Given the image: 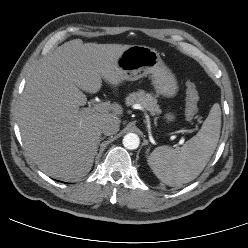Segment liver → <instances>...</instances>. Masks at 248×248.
<instances>
[{"mask_svg": "<svg viewBox=\"0 0 248 248\" xmlns=\"http://www.w3.org/2000/svg\"><path fill=\"white\" fill-rule=\"evenodd\" d=\"M130 45L83 43L74 39L59 46L31 73L19 105V128L28 156L39 169L64 181L86 176L97 153L101 125L120 123L123 109L112 113L80 108L102 79L120 83L118 56Z\"/></svg>", "mask_w": 248, "mask_h": 248, "instance_id": "obj_1", "label": "liver"}]
</instances>
